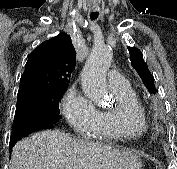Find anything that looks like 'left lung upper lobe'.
<instances>
[{
	"label": "left lung upper lobe",
	"mask_w": 177,
	"mask_h": 169,
	"mask_svg": "<svg viewBox=\"0 0 177 169\" xmlns=\"http://www.w3.org/2000/svg\"><path fill=\"white\" fill-rule=\"evenodd\" d=\"M130 53V61L132 67L138 72L144 85L149 91L156 94L158 92L154 85L153 75L150 73L148 67L143 62L142 52L137 48L128 47Z\"/></svg>",
	"instance_id": "1"
}]
</instances>
